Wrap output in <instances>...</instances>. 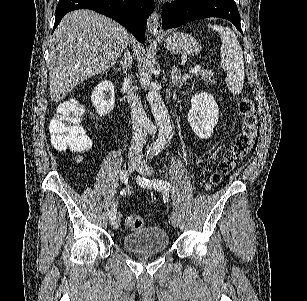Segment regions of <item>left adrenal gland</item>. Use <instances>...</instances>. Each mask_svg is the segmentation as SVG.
Here are the masks:
<instances>
[{"instance_id": "a2214340", "label": "left adrenal gland", "mask_w": 307, "mask_h": 301, "mask_svg": "<svg viewBox=\"0 0 307 301\" xmlns=\"http://www.w3.org/2000/svg\"><path fill=\"white\" fill-rule=\"evenodd\" d=\"M171 78L173 84H176V86H179V88H181L183 82H185L187 78H191V76L190 74H181L180 68H178V66H175V64H173L171 70Z\"/></svg>"}]
</instances>
